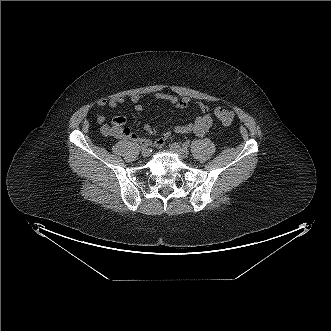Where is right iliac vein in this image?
<instances>
[{"label": "right iliac vein", "mask_w": 331, "mask_h": 331, "mask_svg": "<svg viewBox=\"0 0 331 331\" xmlns=\"http://www.w3.org/2000/svg\"><path fill=\"white\" fill-rule=\"evenodd\" d=\"M141 155L145 158L148 157L150 155V150L148 148L142 149Z\"/></svg>", "instance_id": "obj_1"}]
</instances>
